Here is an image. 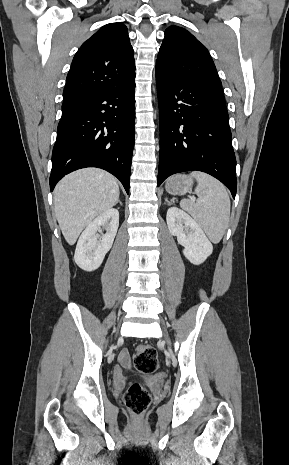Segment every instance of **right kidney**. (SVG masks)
Segmentation results:
<instances>
[{"label":"right kidney","instance_id":"obj_1","mask_svg":"<svg viewBox=\"0 0 289 465\" xmlns=\"http://www.w3.org/2000/svg\"><path fill=\"white\" fill-rule=\"evenodd\" d=\"M119 226V212L108 209L97 216L81 234L75 254V263L85 271H93L100 267L106 253L111 249ZM101 227L106 233L101 236L97 231ZM99 239V240H98Z\"/></svg>","mask_w":289,"mask_h":465}]
</instances>
